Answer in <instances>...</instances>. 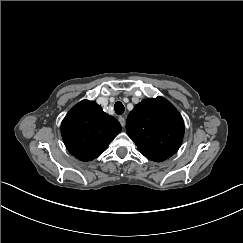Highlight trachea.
<instances>
[{
	"label": "trachea",
	"mask_w": 243,
	"mask_h": 243,
	"mask_svg": "<svg viewBox=\"0 0 243 243\" xmlns=\"http://www.w3.org/2000/svg\"><path fill=\"white\" fill-rule=\"evenodd\" d=\"M114 110H115L117 115H122L124 113V111H125V107H124L122 102L117 101L114 104Z\"/></svg>",
	"instance_id": "trachea-1"
}]
</instances>
